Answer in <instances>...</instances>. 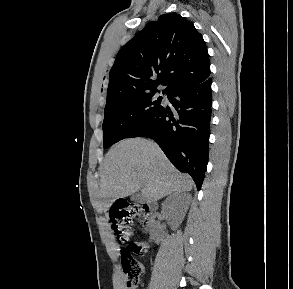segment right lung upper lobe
Returning <instances> with one entry per match:
<instances>
[{
    "mask_svg": "<svg viewBox=\"0 0 293 289\" xmlns=\"http://www.w3.org/2000/svg\"><path fill=\"white\" fill-rule=\"evenodd\" d=\"M205 42L194 25L177 13L148 23L118 52L110 71L107 102L158 92L170 94L209 78Z\"/></svg>",
    "mask_w": 293,
    "mask_h": 289,
    "instance_id": "cb5924a9",
    "label": "right lung upper lobe"
}]
</instances>
